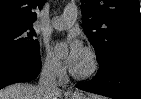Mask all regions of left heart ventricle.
<instances>
[{"label":"left heart ventricle","instance_id":"1","mask_svg":"<svg viewBox=\"0 0 141 99\" xmlns=\"http://www.w3.org/2000/svg\"><path fill=\"white\" fill-rule=\"evenodd\" d=\"M88 66H89L88 58H87L86 54L84 53L81 60L76 65L75 69L79 70V71H84L88 68Z\"/></svg>","mask_w":141,"mask_h":99}]
</instances>
